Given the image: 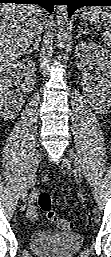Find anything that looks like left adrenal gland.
Returning a JSON list of instances; mask_svg holds the SVG:
<instances>
[{
    "instance_id": "obj_1",
    "label": "left adrenal gland",
    "mask_w": 111,
    "mask_h": 257,
    "mask_svg": "<svg viewBox=\"0 0 111 257\" xmlns=\"http://www.w3.org/2000/svg\"><path fill=\"white\" fill-rule=\"evenodd\" d=\"M82 34H88V32L81 29L80 32L78 33L77 37H79Z\"/></svg>"
}]
</instances>
